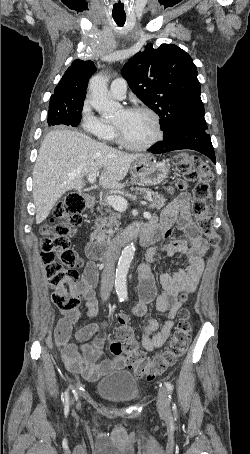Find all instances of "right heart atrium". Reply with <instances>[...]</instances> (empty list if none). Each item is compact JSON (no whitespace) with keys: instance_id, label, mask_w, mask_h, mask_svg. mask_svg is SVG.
I'll use <instances>...</instances> for the list:
<instances>
[{"instance_id":"d8ad5b80","label":"right heart atrium","mask_w":250,"mask_h":454,"mask_svg":"<svg viewBox=\"0 0 250 454\" xmlns=\"http://www.w3.org/2000/svg\"><path fill=\"white\" fill-rule=\"evenodd\" d=\"M81 126L85 132L95 136H100L106 127V124L93 113L88 101L84 102L81 109Z\"/></svg>"}]
</instances>
